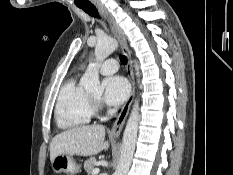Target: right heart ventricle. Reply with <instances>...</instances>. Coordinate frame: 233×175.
<instances>
[{"mask_svg":"<svg viewBox=\"0 0 233 175\" xmlns=\"http://www.w3.org/2000/svg\"><path fill=\"white\" fill-rule=\"evenodd\" d=\"M94 114L90 96L78 84L77 78L67 80L61 87L55 104V121L65 130L86 126Z\"/></svg>","mask_w":233,"mask_h":175,"instance_id":"obj_1","label":"right heart ventricle"}]
</instances>
